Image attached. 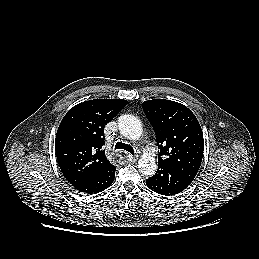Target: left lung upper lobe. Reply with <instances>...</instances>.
<instances>
[{
    "label": "left lung upper lobe",
    "mask_w": 259,
    "mask_h": 259,
    "mask_svg": "<svg viewBox=\"0 0 259 259\" xmlns=\"http://www.w3.org/2000/svg\"><path fill=\"white\" fill-rule=\"evenodd\" d=\"M142 107L160 147L158 165L191 183L200 168L204 150L203 133L196 116L186 106L171 100H148Z\"/></svg>",
    "instance_id": "left-lung-upper-lobe-1"
}]
</instances>
